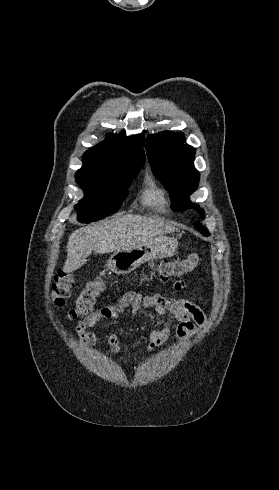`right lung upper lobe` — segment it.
<instances>
[{"instance_id":"obj_1","label":"right lung upper lobe","mask_w":279,"mask_h":490,"mask_svg":"<svg viewBox=\"0 0 279 490\" xmlns=\"http://www.w3.org/2000/svg\"><path fill=\"white\" fill-rule=\"evenodd\" d=\"M144 135H111L83 155V166L76 175L105 177L126 168L142 167L145 162Z\"/></svg>"}]
</instances>
